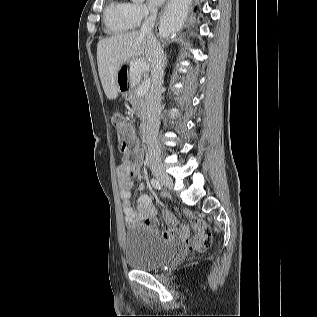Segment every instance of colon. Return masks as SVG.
Listing matches in <instances>:
<instances>
[{"instance_id": "colon-1", "label": "colon", "mask_w": 317, "mask_h": 317, "mask_svg": "<svg viewBox=\"0 0 317 317\" xmlns=\"http://www.w3.org/2000/svg\"><path fill=\"white\" fill-rule=\"evenodd\" d=\"M112 122L117 131L120 151L125 156V164L131 175H133L136 172V166L139 162L138 145L134 130L124 115L120 113H115L112 116ZM210 242L211 236L210 233H207L198 241H190L188 243V249L190 251H202L210 244Z\"/></svg>"}]
</instances>
